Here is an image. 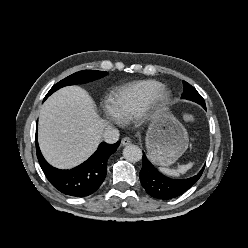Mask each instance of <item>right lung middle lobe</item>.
<instances>
[{"label":"right lung middle lobe","instance_id":"obj_1","mask_svg":"<svg viewBox=\"0 0 248 248\" xmlns=\"http://www.w3.org/2000/svg\"><path fill=\"white\" fill-rule=\"evenodd\" d=\"M107 75L105 71H96V70H84L80 72H76L65 79L61 80L57 84H55L50 91L47 93L45 99L50 96L53 92L68 85L81 84L90 81H94L96 79L102 78Z\"/></svg>","mask_w":248,"mask_h":248}]
</instances>
